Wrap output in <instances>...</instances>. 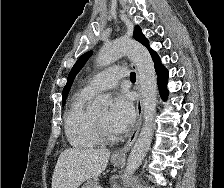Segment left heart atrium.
Wrapping results in <instances>:
<instances>
[{
  "label": "left heart atrium",
  "mask_w": 224,
  "mask_h": 188,
  "mask_svg": "<svg viewBox=\"0 0 224 188\" xmlns=\"http://www.w3.org/2000/svg\"><path fill=\"white\" fill-rule=\"evenodd\" d=\"M135 111L131 95L128 92L118 94L109 112V124L111 128L119 133L126 131L134 122Z\"/></svg>",
  "instance_id": "39dd6f15"
}]
</instances>
